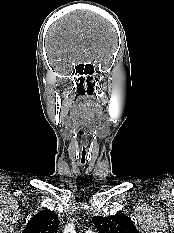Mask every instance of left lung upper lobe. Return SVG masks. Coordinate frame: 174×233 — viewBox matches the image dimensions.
<instances>
[{"label":"left lung upper lobe","instance_id":"1","mask_svg":"<svg viewBox=\"0 0 174 233\" xmlns=\"http://www.w3.org/2000/svg\"><path fill=\"white\" fill-rule=\"evenodd\" d=\"M92 221L100 233H139L131 219L124 214L95 216Z\"/></svg>","mask_w":174,"mask_h":233}]
</instances>
